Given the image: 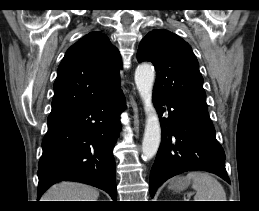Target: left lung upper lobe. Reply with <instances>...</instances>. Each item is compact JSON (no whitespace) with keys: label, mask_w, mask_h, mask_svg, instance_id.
Segmentation results:
<instances>
[{"label":"left lung upper lobe","mask_w":259,"mask_h":211,"mask_svg":"<svg viewBox=\"0 0 259 211\" xmlns=\"http://www.w3.org/2000/svg\"><path fill=\"white\" fill-rule=\"evenodd\" d=\"M137 60L154 64L155 92L207 106L198 61L189 44L176 34L162 29L149 32L140 43Z\"/></svg>","instance_id":"left-lung-upper-lobe-1"}]
</instances>
